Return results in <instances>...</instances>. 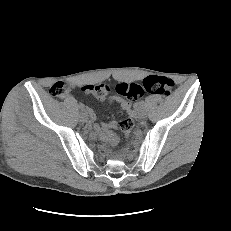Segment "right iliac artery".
Returning a JSON list of instances; mask_svg holds the SVG:
<instances>
[{"instance_id":"obj_1","label":"right iliac artery","mask_w":231,"mask_h":231,"mask_svg":"<svg viewBox=\"0 0 231 231\" xmlns=\"http://www.w3.org/2000/svg\"><path fill=\"white\" fill-rule=\"evenodd\" d=\"M79 108H80L82 111H84V110H85V105L82 104V103H80V104H79Z\"/></svg>"}]
</instances>
